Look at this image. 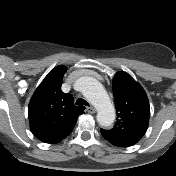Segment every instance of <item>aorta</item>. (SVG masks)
<instances>
[{
  "label": "aorta",
  "instance_id": "aorta-1",
  "mask_svg": "<svg viewBox=\"0 0 176 176\" xmlns=\"http://www.w3.org/2000/svg\"><path fill=\"white\" fill-rule=\"evenodd\" d=\"M82 92L97 109V122L102 127H109L115 120V108L104 87L91 77L84 78Z\"/></svg>",
  "mask_w": 176,
  "mask_h": 176
}]
</instances>
